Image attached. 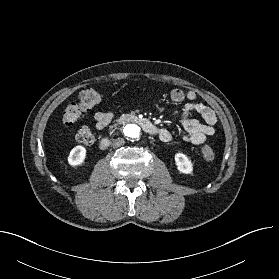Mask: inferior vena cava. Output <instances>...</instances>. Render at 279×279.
Segmentation results:
<instances>
[{"instance_id":"inferior-vena-cava-1","label":"inferior vena cava","mask_w":279,"mask_h":279,"mask_svg":"<svg viewBox=\"0 0 279 279\" xmlns=\"http://www.w3.org/2000/svg\"><path fill=\"white\" fill-rule=\"evenodd\" d=\"M125 141L123 138H117L113 141L112 145L113 147H120L122 145H124Z\"/></svg>"}]
</instances>
